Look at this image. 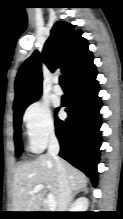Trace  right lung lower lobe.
<instances>
[{"label": "right lung lower lobe", "mask_w": 123, "mask_h": 219, "mask_svg": "<svg viewBox=\"0 0 123 219\" xmlns=\"http://www.w3.org/2000/svg\"><path fill=\"white\" fill-rule=\"evenodd\" d=\"M96 76L93 59L71 75L67 80L68 92L61 104L68 118L62 121L55 117L56 135L61 146L59 155L83 171L94 186L98 181L97 164L102 143L99 113L102 103Z\"/></svg>", "instance_id": "obj_1"}]
</instances>
